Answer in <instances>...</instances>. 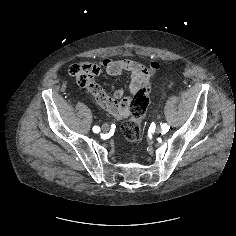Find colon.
<instances>
[{
	"instance_id": "obj_1",
	"label": "colon",
	"mask_w": 236,
	"mask_h": 236,
	"mask_svg": "<svg viewBox=\"0 0 236 236\" xmlns=\"http://www.w3.org/2000/svg\"><path fill=\"white\" fill-rule=\"evenodd\" d=\"M158 69L159 64L157 62H152L147 68V70L151 73V83L148 86L141 88L136 93L134 100L131 103V110L127 116L128 119H126L121 126V131L128 141L135 142L141 138V122L150 103L149 93L152 79Z\"/></svg>"
}]
</instances>
